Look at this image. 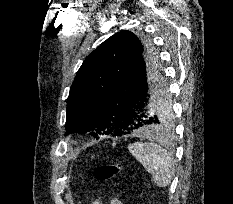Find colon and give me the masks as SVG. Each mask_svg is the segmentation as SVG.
Here are the masks:
<instances>
[{"instance_id": "5ec220e1", "label": "colon", "mask_w": 233, "mask_h": 204, "mask_svg": "<svg viewBox=\"0 0 233 204\" xmlns=\"http://www.w3.org/2000/svg\"><path fill=\"white\" fill-rule=\"evenodd\" d=\"M122 170V165L118 162L102 165L94 171V176L98 181H108L116 177Z\"/></svg>"}]
</instances>
